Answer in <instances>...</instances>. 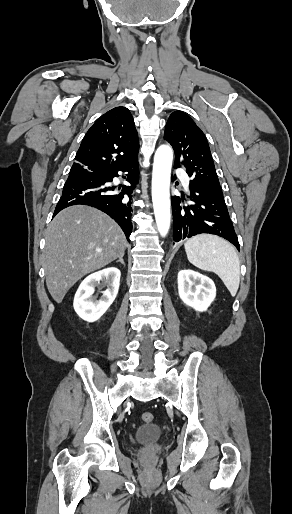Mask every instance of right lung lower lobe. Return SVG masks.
Here are the masks:
<instances>
[{
	"label": "right lung lower lobe",
	"instance_id": "98d812e1",
	"mask_svg": "<svg viewBox=\"0 0 292 514\" xmlns=\"http://www.w3.org/2000/svg\"><path fill=\"white\" fill-rule=\"evenodd\" d=\"M127 172L128 186L119 187L110 185L118 172ZM139 182L138 160L119 169L103 173H69L64 185L62 196L55 208V216L62 209L84 204L95 207L113 218L124 231L127 240L132 232L131 210L132 193ZM121 192L117 194V191Z\"/></svg>",
	"mask_w": 292,
	"mask_h": 514
}]
</instances>
